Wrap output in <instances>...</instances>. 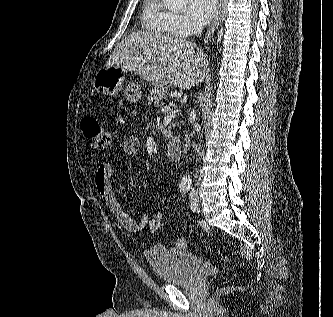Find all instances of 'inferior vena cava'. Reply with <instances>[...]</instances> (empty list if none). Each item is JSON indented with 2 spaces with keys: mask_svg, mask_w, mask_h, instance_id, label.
Returning <instances> with one entry per match:
<instances>
[{
  "mask_svg": "<svg viewBox=\"0 0 333 317\" xmlns=\"http://www.w3.org/2000/svg\"><path fill=\"white\" fill-rule=\"evenodd\" d=\"M193 32H194V34L196 35V36H201V34H202V28L200 27V26H195L194 27V30H193Z\"/></svg>",
  "mask_w": 333,
  "mask_h": 317,
  "instance_id": "inferior-vena-cava-1",
  "label": "inferior vena cava"
}]
</instances>
